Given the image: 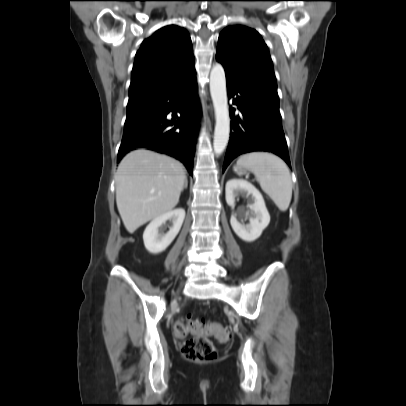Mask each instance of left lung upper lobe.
Returning a JSON list of instances; mask_svg holds the SVG:
<instances>
[{"label": "left lung upper lobe", "mask_w": 406, "mask_h": 406, "mask_svg": "<svg viewBox=\"0 0 406 406\" xmlns=\"http://www.w3.org/2000/svg\"><path fill=\"white\" fill-rule=\"evenodd\" d=\"M216 59L241 78L277 93L271 57L256 30L243 25L225 28L219 36Z\"/></svg>", "instance_id": "obj_1"}]
</instances>
